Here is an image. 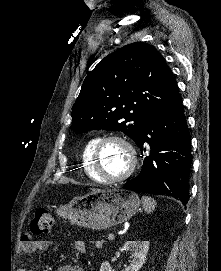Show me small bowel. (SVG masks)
I'll return each instance as SVG.
<instances>
[{
	"mask_svg": "<svg viewBox=\"0 0 221 271\" xmlns=\"http://www.w3.org/2000/svg\"><path fill=\"white\" fill-rule=\"evenodd\" d=\"M73 247L80 254H85L87 251L86 244L82 240H74ZM19 250L24 253H32L36 250L57 251L58 246L46 239H24L19 244ZM58 271H83V269L79 265L64 264L58 268Z\"/></svg>",
	"mask_w": 221,
	"mask_h": 271,
	"instance_id": "obj_1",
	"label": "small bowel"
}]
</instances>
